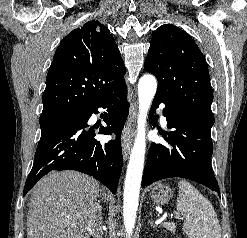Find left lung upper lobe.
<instances>
[{"label":"left lung upper lobe","instance_id":"obj_1","mask_svg":"<svg viewBox=\"0 0 247 238\" xmlns=\"http://www.w3.org/2000/svg\"><path fill=\"white\" fill-rule=\"evenodd\" d=\"M158 80L156 95L171 108L214 124L213 91L206 59L191 36L175 25L155 30L144 64Z\"/></svg>","mask_w":247,"mask_h":238}]
</instances>
